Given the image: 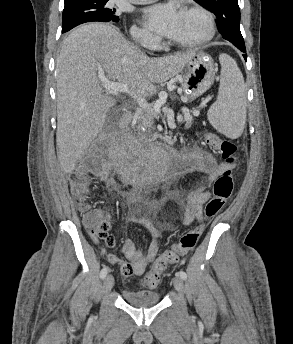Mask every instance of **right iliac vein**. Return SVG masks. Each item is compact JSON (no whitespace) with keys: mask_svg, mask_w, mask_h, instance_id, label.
I'll return each mask as SVG.
<instances>
[{"mask_svg":"<svg viewBox=\"0 0 293 344\" xmlns=\"http://www.w3.org/2000/svg\"><path fill=\"white\" fill-rule=\"evenodd\" d=\"M114 285V277L112 275H107L103 282V291L108 293Z\"/></svg>","mask_w":293,"mask_h":344,"instance_id":"1","label":"right iliac vein"}]
</instances>
